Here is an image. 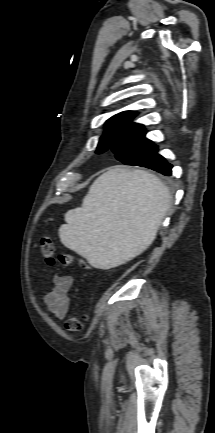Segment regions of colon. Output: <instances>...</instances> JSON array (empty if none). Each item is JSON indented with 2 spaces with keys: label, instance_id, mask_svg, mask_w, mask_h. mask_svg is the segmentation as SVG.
I'll use <instances>...</instances> for the list:
<instances>
[{
  "label": "colon",
  "instance_id": "5ec220e1",
  "mask_svg": "<svg viewBox=\"0 0 215 433\" xmlns=\"http://www.w3.org/2000/svg\"><path fill=\"white\" fill-rule=\"evenodd\" d=\"M40 250L45 261L50 265L58 261L64 266H69L75 262V256L72 253H63L56 257L54 242L49 236L41 237ZM79 266L82 268H88V263L84 260H80ZM86 319V314L70 317L65 322V328L71 333L80 332L84 328V322Z\"/></svg>",
  "mask_w": 215,
  "mask_h": 433
}]
</instances>
